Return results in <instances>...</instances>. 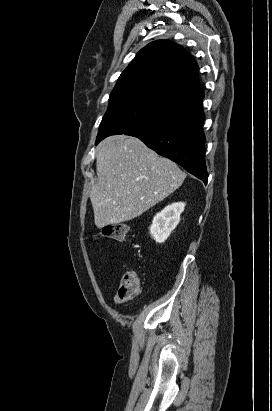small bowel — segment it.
<instances>
[{
  "mask_svg": "<svg viewBox=\"0 0 272 411\" xmlns=\"http://www.w3.org/2000/svg\"><path fill=\"white\" fill-rule=\"evenodd\" d=\"M113 299H114V303H115L116 305H118V304L121 303V300L118 298V296H117L116 293H114Z\"/></svg>",
  "mask_w": 272,
  "mask_h": 411,
  "instance_id": "obj_1",
  "label": "small bowel"
}]
</instances>
